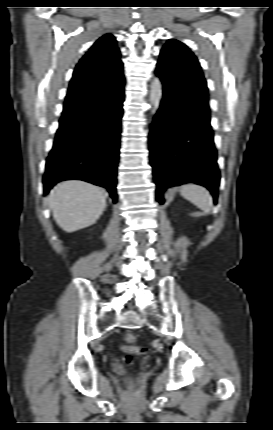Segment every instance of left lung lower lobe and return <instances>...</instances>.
I'll return each instance as SVG.
<instances>
[{
  "label": "left lung lower lobe",
  "mask_w": 273,
  "mask_h": 430,
  "mask_svg": "<svg viewBox=\"0 0 273 430\" xmlns=\"http://www.w3.org/2000/svg\"><path fill=\"white\" fill-rule=\"evenodd\" d=\"M159 77L163 98L149 135L157 201L164 203L168 187L193 182L207 187L216 202L220 173L210 115L178 97L170 80Z\"/></svg>",
  "instance_id": "obj_1"
}]
</instances>
